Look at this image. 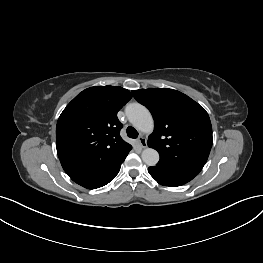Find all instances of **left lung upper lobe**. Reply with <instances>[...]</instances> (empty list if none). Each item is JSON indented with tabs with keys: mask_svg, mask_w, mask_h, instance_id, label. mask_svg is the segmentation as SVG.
<instances>
[{
	"mask_svg": "<svg viewBox=\"0 0 263 263\" xmlns=\"http://www.w3.org/2000/svg\"><path fill=\"white\" fill-rule=\"evenodd\" d=\"M132 93L154 118L148 146L159 152L157 166L195 177L212 147V126L207 112L177 90L140 89Z\"/></svg>",
	"mask_w": 263,
	"mask_h": 263,
	"instance_id": "left-lung-upper-lobe-1",
	"label": "left lung upper lobe"
}]
</instances>
